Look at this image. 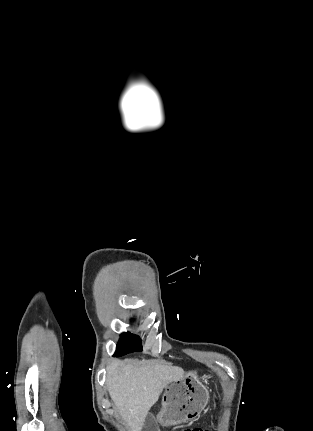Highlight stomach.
Here are the masks:
<instances>
[{
    "mask_svg": "<svg viewBox=\"0 0 313 431\" xmlns=\"http://www.w3.org/2000/svg\"><path fill=\"white\" fill-rule=\"evenodd\" d=\"M208 400L207 388L196 373L190 372L183 379L167 386L157 418L166 426L194 420L206 407Z\"/></svg>",
    "mask_w": 313,
    "mask_h": 431,
    "instance_id": "0dacf381",
    "label": "stomach"
}]
</instances>
